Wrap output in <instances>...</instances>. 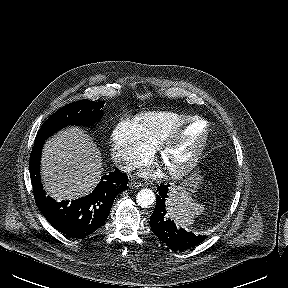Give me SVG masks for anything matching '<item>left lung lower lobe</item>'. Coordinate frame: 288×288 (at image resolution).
<instances>
[{
	"instance_id": "obj_1",
	"label": "left lung lower lobe",
	"mask_w": 288,
	"mask_h": 288,
	"mask_svg": "<svg viewBox=\"0 0 288 288\" xmlns=\"http://www.w3.org/2000/svg\"><path fill=\"white\" fill-rule=\"evenodd\" d=\"M170 185L158 186L159 195L156 199L154 212L150 217V226L153 233L169 248L185 250L204 241L206 235H195L183 228H178L173 221L167 219L165 200Z\"/></svg>"
}]
</instances>
